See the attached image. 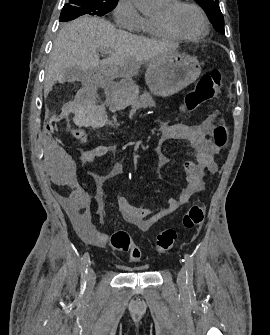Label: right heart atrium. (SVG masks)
<instances>
[{
    "label": "right heart atrium",
    "mask_w": 270,
    "mask_h": 335,
    "mask_svg": "<svg viewBox=\"0 0 270 335\" xmlns=\"http://www.w3.org/2000/svg\"><path fill=\"white\" fill-rule=\"evenodd\" d=\"M116 24L126 30H138L142 16L140 15L135 0H118L114 8Z\"/></svg>",
    "instance_id": "1"
}]
</instances>
